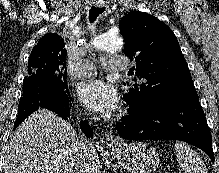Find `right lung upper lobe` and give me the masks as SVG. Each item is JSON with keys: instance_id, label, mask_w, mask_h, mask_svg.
Listing matches in <instances>:
<instances>
[{"instance_id": "1", "label": "right lung upper lobe", "mask_w": 219, "mask_h": 173, "mask_svg": "<svg viewBox=\"0 0 219 173\" xmlns=\"http://www.w3.org/2000/svg\"><path fill=\"white\" fill-rule=\"evenodd\" d=\"M64 40L58 34L44 35L32 49L29 61L48 62L61 66L66 70V49Z\"/></svg>"}]
</instances>
